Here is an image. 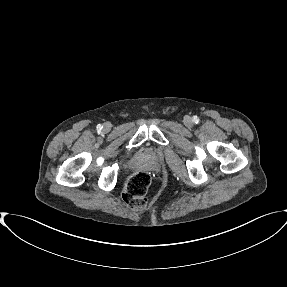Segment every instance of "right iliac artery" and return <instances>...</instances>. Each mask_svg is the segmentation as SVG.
<instances>
[{
  "instance_id": "1",
  "label": "right iliac artery",
  "mask_w": 287,
  "mask_h": 287,
  "mask_svg": "<svg viewBox=\"0 0 287 287\" xmlns=\"http://www.w3.org/2000/svg\"><path fill=\"white\" fill-rule=\"evenodd\" d=\"M103 127L99 124V125H97V129L98 130H101Z\"/></svg>"
}]
</instances>
